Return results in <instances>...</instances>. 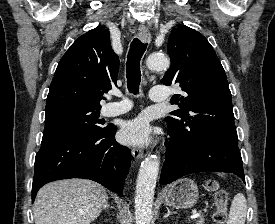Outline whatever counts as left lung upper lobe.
I'll return each instance as SVG.
<instances>
[{
  "label": "left lung upper lobe",
  "instance_id": "obj_1",
  "mask_svg": "<svg viewBox=\"0 0 275 224\" xmlns=\"http://www.w3.org/2000/svg\"><path fill=\"white\" fill-rule=\"evenodd\" d=\"M167 50L171 66L161 81L179 83L185 92L171 99L181 109L165 118L168 127L182 135L208 131L237 136L227 77L208 40L181 25L170 34Z\"/></svg>",
  "mask_w": 275,
  "mask_h": 224
}]
</instances>
